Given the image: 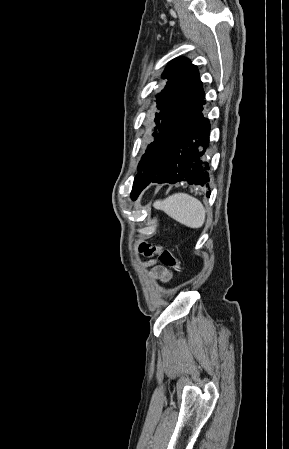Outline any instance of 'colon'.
<instances>
[{
  "label": "colon",
  "mask_w": 289,
  "mask_h": 449,
  "mask_svg": "<svg viewBox=\"0 0 289 449\" xmlns=\"http://www.w3.org/2000/svg\"><path fill=\"white\" fill-rule=\"evenodd\" d=\"M139 252L144 255V256H153V255H157L159 261L173 269L174 271L181 273L183 271V267L181 266V264L179 263V261L176 259V257L173 255V253L168 250V249H164L161 246H154V245H150L146 242H143L139 245Z\"/></svg>",
  "instance_id": "obj_1"
}]
</instances>
